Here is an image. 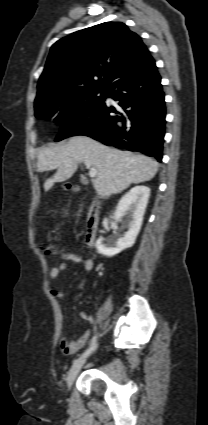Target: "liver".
<instances>
[{"instance_id":"6515ba94","label":"liver","mask_w":208,"mask_h":425,"mask_svg":"<svg viewBox=\"0 0 208 425\" xmlns=\"http://www.w3.org/2000/svg\"><path fill=\"white\" fill-rule=\"evenodd\" d=\"M81 162H88L97 169L93 186L101 198L120 193L131 184L149 181L158 170V163L150 157L110 148L86 136H76L65 144L40 151L37 171L57 169L54 176L44 182V190L49 191L56 182L71 178Z\"/></svg>"}]
</instances>
